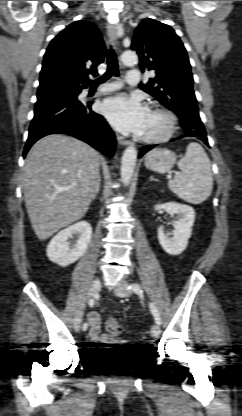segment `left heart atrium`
<instances>
[{"instance_id":"left-heart-atrium-1","label":"left heart atrium","mask_w":242,"mask_h":416,"mask_svg":"<svg viewBox=\"0 0 242 416\" xmlns=\"http://www.w3.org/2000/svg\"><path fill=\"white\" fill-rule=\"evenodd\" d=\"M101 111L115 129L135 135H142L149 113L139 98L126 94H118L105 100Z\"/></svg>"}]
</instances>
